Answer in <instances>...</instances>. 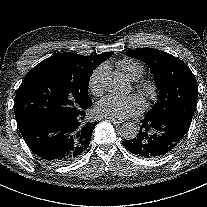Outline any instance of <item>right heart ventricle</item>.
Here are the masks:
<instances>
[{"label": "right heart ventricle", "instance_id": "obj_1", "mask_svg": "<svg viewBox=\"0 0 207 207\" xmlns=\"http://www.w3.org/2000/svg\"><path fill=\"white\" fill-rule=\"evenodd\" d=\"M118 68L131 80L139 79L143 73V66L131 59H124L117 63Z\"/></svg>", "mask_w": 207, "mask_h": 207}]
</instances>
